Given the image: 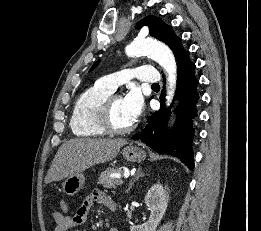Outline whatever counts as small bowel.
Returning a JSON list of instances; mask_svg holds the SVG:
<instances>
[{"instance_id": "c3829d8e", "label": "small bowel", "mask_w": 261, "mask_h": 231, "mask_svg": "<svg viewBox=\"0 0 261 231\" xmlns=\"http://www.w3.org/2000/svg\"><path fill=\"white\" fill-rule=\"evenodd\" d=\"M94 203H98L110 208L111 204H114V201L110 196L96 190L83 200L73 216L68 215L64 210L57 208L52 212L51 215L55 223L53 231H69L84 225ZM109 231L118 230L116 228H111Z\"/></svg>"}]
</instances>
